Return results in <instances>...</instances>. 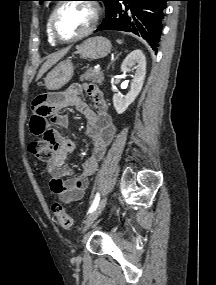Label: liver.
Instances as JSON below:
<instances>
[{
	"instance_id": "obj_1",
	"label": "liver",
	"mask_w": 216,
	"mask_h": 285,
	"mask_svg": "<svg viewBox=\"0 0 216 285\" xmlns=\"http://www.w3.org/2000/svg\"><path fill=\"white\" fill-rule=\"evenodd\" d=\"M69 48H66L62 51H58L57 53H54L40 68L39 73L37 75V80L42 77V75L50 68L52 67L55 63H57L63 56L66 55L68 52Z\"/></svg>"
}]
</instances>
